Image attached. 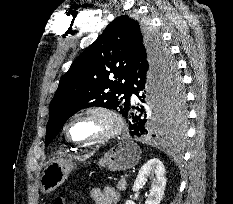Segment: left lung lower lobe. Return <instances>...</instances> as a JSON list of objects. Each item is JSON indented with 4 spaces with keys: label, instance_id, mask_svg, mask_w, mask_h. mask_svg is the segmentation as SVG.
Listing matches in <instances>:
<instances>
[{
    "label": "left lung lower lobe",
    "instance_id": "obj_1",
    "mask_svg": "<svg viewBox=\"0 0 233 204\" xmlns=\"http://www.w3.org/2000/svg\"><path fill=\"white\" fill-rule=\"evenodd\" d=\"M145 59L144 51L139 52L130 70L129 98L134 93L141 101V104L134 106L129 99L130 105L123 115L129 123L130 135L141 137L149 134L155 137L174 130L182 131L181 125L183 120L180 127L166 126L161 84L157 74L151 69ZM174 81L175 78L171 82ZM152 105L154 106L153 108Z\"/></svg>",
    "mask_w": 233,
    "mask_h": 204
}]
</instances>
